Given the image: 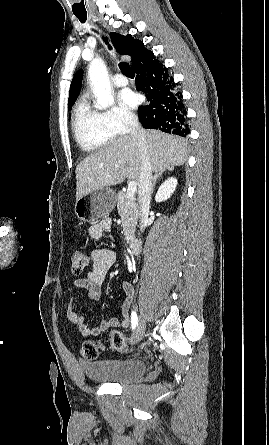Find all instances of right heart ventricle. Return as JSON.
<instances>
[{"label": "right heart ventricle", "instance_id": "right-heart-ventricle-1", "mask_svg": "<svg viewBox=\"0 0 269 445\" xmlns=\"http://www.w3.org/2000/svg\"><path fill=\"white\" fill-rule=\"evenodd\" d=\"M72 127L77 144L87 152L108 145L115 137L106 126L101 113L94 110L85 98L79 99L75 105Z\"/></svg>", "mask_w": 269, "mask_h": 445}]
</instances>
